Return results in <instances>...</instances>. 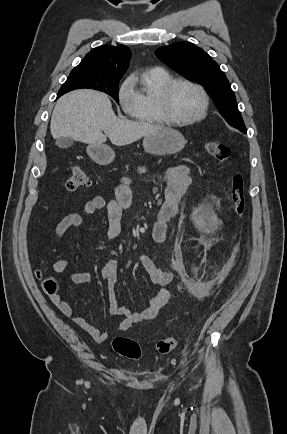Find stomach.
Segmentation results:
<instances>
[{"instance_id":"stomach-1","label":"stomach","mask_w":287,"mask_h":434,"mask_svg":"<svg viewBox=\"0 0 287 434\" xmlns=\"http://www.w3.org/2000/svg\"><path fill=\"white\" fill-rule=\"evenodd\" d=\"M186 144L184 136L172 128H162L144 137L143 147L153 155H171L180 152ZM87 153L100 165H107L115 158L114 151L107 145H89Z\"/></svg>"}]
</instances>
